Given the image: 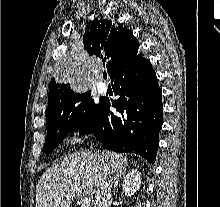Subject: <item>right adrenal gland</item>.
<instances>
[{"label": "right adrenal gland", "mask_w": 220, "mask_h": 207, "mask_svg": "<svg viewBox=\"0 0 220 207\" xmlns=\"http://www.w3.org/2000/svg\"><path fill=\"white\" fill-rule=\"evenodd\" d=\"M126 169L117 172L116 175L114 176V189L117 188L120 179L122 178V176L125 174Z\"/></svg>", "instance_id": "right-adrenal-gland-1"}]
</instances>
